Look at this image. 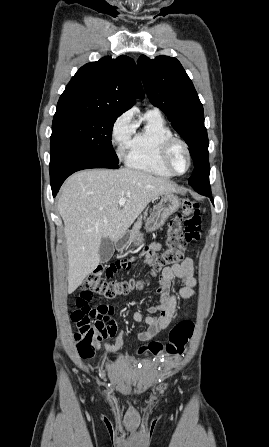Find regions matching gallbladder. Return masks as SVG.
I'll list each match as a JSON object with an SVG mask.
<instances>
[{"label":"gallbladder","instance_id":"gallbladder-1","mask_svg":"<svg viewBox=\"0 0 269 447\" xmlns=\"http://www.w3.org/2000/svg\"><path fill=\"white\" fill-rule=\"evenodd\" d=\"M114 241H111L109 237H103L100 247H99V255L101 263H105V261H109L110 257H112L114 253Z\"/></svg>","mask_w":269,"mask_h":447}]
</instances>
